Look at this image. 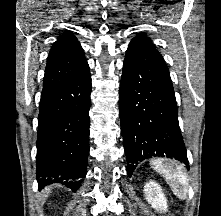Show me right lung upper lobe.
I'll use <instances>...</instances> for the list:
<instances>
[{"mask_svg":"<svg viewBox=\"0 0 221 216\" xmlns=\"http://www.w3.org/2000/svg\"><path fill=\"white\" fill-rule=\"evenodd\" d=\"M87 70L89 66L77 38L69 32H63L48 55L41 95Z\"/></svg>","mask_w":221,"mask_h":216,"instance_id":"obj_1","label":"right lung upper lobe"}]
</instances>
